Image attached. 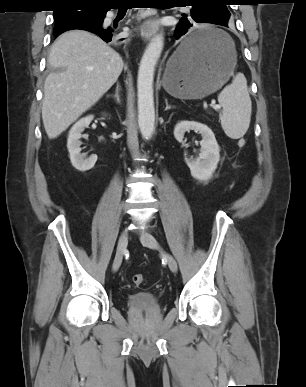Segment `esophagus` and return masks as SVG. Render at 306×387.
<instances>
[{
    "label": "esophagus",
    "instance_id": "obj_1",
    "mask_svg": "<svg viewBox=\"0 0 306 387\" xmlns=\"http://www.w3.org/2000/svg\"><path fill=\"white\" fill-rule=\"evenodd\" d=\"M148 12L151 15L156 14V11L153 9L148 10ZM151 20L152 18H149L148 20H146L141 27V36L145 41H149L156 33V28L151 24Z\"/></svg>",
    "mask_w": 306,
    "mask_h": 387
}]
</instances>
